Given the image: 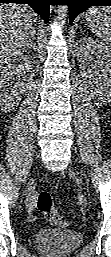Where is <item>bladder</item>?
Segmentation results:
<instances>
[{"instance_id":"31cf9c89","label":"bladder","mask_w":111,"mask_h":257,"mask_svg":"<svg viewBox=\"0 0 111 257\" xmlns=\"http://www.w3.org/2000/svg\"><path fill=\"white\" fill-rule=\"evenodd\" d=\"M35 244L48 257H61L75 251L83 242V236L75 231L48 230L35 236Z\"/></svg>"}]
</instances>
